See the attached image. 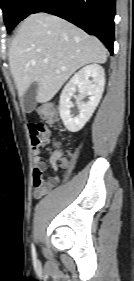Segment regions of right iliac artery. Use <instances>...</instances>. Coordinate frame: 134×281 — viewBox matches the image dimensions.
<instances>
[{
    "instance_id": "right-iliac-artery-1",
    "label": "right iliac artery",
    "mask_w": 134,
    "mask_h": 281,
    "mask_svg": "<svg viewBox=\"0 0 134 281\" xmlns=\"http://www.w3.org/2000/svg\"><path fill=\"white\" fill-rule=\"evenodd\" d=\"M32 255H33V258L35 259L36 258V250H35L34 244H32Z\"/></svg>"
}]
</instances>
